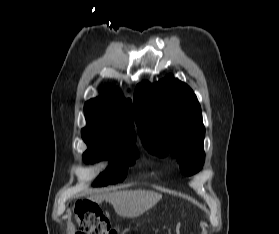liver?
Instances as JSON below:
<instances>
[{"mask_svg":"<svg viewBox=\"0 0 279 234\" xmlns=\"http://www.w3.org/2000/svg\"><path fill=\"white\" fill-rule=\"evenodd\" d=\"M161 198L159 193L138 189L98 194L92 200L97 203L106 200L113 205L117 215L135 218L152 208Z\"/></svg>","mask_w":279,"mask_h":234,"instance_id":"obj_1","label":"liver"}]
</instances>
